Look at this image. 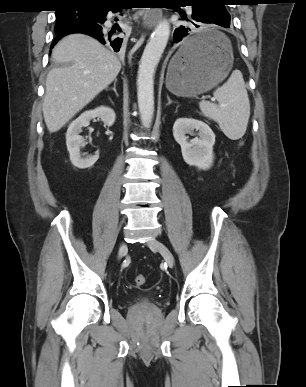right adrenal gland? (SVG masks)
I'll return each instance as SVG.
<instances>
[{
  "label": "right adrenal gland",
  "instance_id": "1",
  "mask_svg": "<svg viewBox=\"0 0 306 387\" xmlns=\"http://www.w3.org/2000/svg\"><path fill=\"white\" fill-rule=\"evenodd\" d=\"M116 83H117V79H115L113 88H111V89L115 92L116 96L118 97V93H117V91H116ZM109 90H110V89H109Z\"/></svg>",
  "mask_w": 306,
  "mask_h": 387
}]
</instances>
